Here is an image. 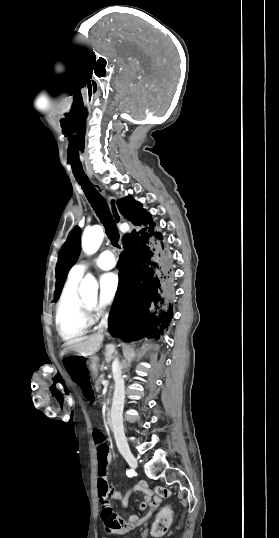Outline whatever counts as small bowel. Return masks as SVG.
I'll return each mask as SVG.
<instances>
[{
	"instance_id": "obj_1",
	"label": "small bowel",
	"mask_w": 279,
	"mask_h": 538,
	"mask_svg": "<svg viewBox=\"0 0 279 538\" xmlns=\"http://www.w3.org/2000/svg\"><path fill=\"white\" fill-rule=\"evenodd\" d=\"M111 460L112 457L109 455L107 465L111 464ZM133 491H140L144 496V499L139 504V509L144 511L149 508V511L144 516L132 515L128 518L121 517L116 514H113L110 517L102 515L106 530L108 532L115 534L128 533L129 531L146 522L151 517L152 513L156 511L160 500L153 496L151 489L142 481L136 483L124 497H122V495L118 492H114L112 497L114 500L120 501L123 507H126L128 499Z\"/></svg>"
}]
</instances>
